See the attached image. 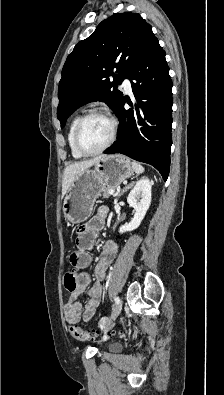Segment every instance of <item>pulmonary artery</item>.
Segmentation results:
<instances>
[{
    "label": "pulmonary artery",
    "instance_id": "e3ab8cb5",
    "mask_svg": "<svg viewBox=\"0 0 224 395\" xmlns=\"http://www.w3.org/2000/svg\"><path fill=\"white\" fill-rule=\"evenodd\" d=\"M123 89L126 93L130 94L132 92L130 79L125 78L122 82Z\"/></svg>",
    "mask_w": 224,
    "mask_h": 395
}]
</instances>
